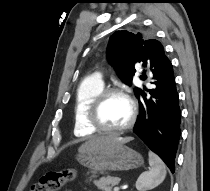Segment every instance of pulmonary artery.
I'll list each match as a JSON object with an SVG mask.
<instances>
[{
  "label": "pulmonary artery",
  "instance_id": "obj_1",
  "mask_svg": "<svg viewBox=\"0 0 210 191\" xmlns=\"http://www.w3.org/2000/svg\"><path fill=\"white\" fill-rule=\"evenodd\" d=\"M92 78L95 79V80H98V81H101V82H102L101 76H100V74H98V73L94 74V75L92 76Z\"/></svg>",
  "mask_w": 210,
  "mask_h": 191
}]
</instances>
